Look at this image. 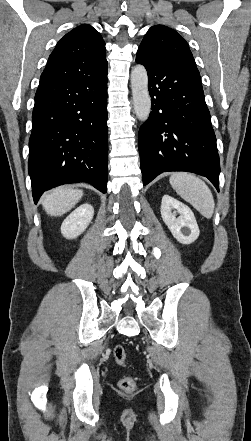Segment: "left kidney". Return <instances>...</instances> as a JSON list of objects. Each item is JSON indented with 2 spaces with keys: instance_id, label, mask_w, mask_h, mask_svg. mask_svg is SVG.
<instances>
[{
  "instance_id": "1",
  "label": "left kidney",
  "mask_w": 251,
  "mask_h": 441,
  "mask_svg": "<svg viewBox=\"0 0 251 441\" xmlns=\"http://www.w3.org/2000/svg\"><path fill=\"white\" fill-rule=\"evenodd\" d=\"M176 213L180 216L176 217ZM161 217L178 242L191 244L198 238L200 231L195 216L182 202L164 195L161 202Z\"/></svg>"
}]
</instances>
